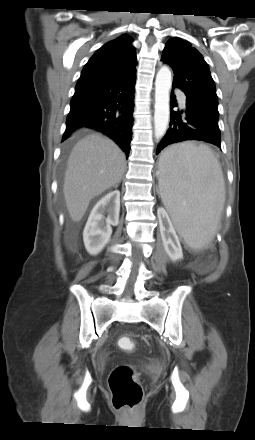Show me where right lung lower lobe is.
<instances>
[{"label":"right lung lower lobe","instance_id":"right-lung-lower-lobe-1","mask_svg":"<svg viewBox=\"0 0 255 440\" xmlns=\"http://www.w3.org/2000/svg\"><path fill=\"white\" fill-rule=\"evenodd\" d=\"M136 69L100 85L75 90L62 141L86 127L113 139L128 156L132 139Z\"/></svg>","mask_w":255,"mask_h":440}]
</instances>
